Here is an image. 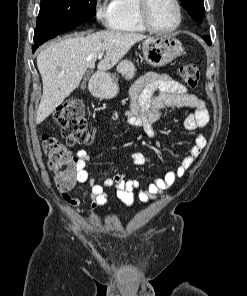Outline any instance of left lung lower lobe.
<instances>
[{"instance_id":"1","label":"left lung lower lobe","mask_w":247,"mask_h":296,"mask_svg":"<svg viewBox=\"0 0 247 296\" xmlns=\"http://www.w3.org/2000/svg\"><path fill=\"white\" fill-rule=\"evenodd\" d=\"M203 38H204V40H205L208 44H211V41H210L209 37L204 36Z\"/></svg>"}]
</instances>
